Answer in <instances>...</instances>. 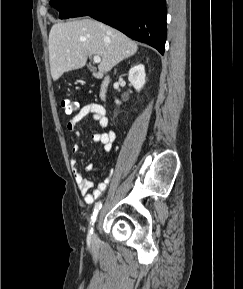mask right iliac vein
I'll return each instance as SVG.
<instances>
[{"instance_id": "1", "label": "right iliac vein", "mask_w": 243, "mask_h": 289, "mask_svg": "<svg viewBox=\"0 0 243 289\" xmlns=\"http://www.w3.org/2000/svg\"><path fill=\"white\" fill-rule=\"evenodd\" d=\"M94 238H95V235L92 236V239H94Z\"/></svg>"}]
</instances>
